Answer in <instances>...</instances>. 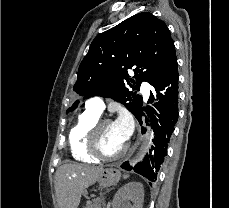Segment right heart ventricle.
Returning a JSON list of instances; mask_svg holds the SVG:
<instances>
[{
	"label": "right heart ventricle",
	"mask_w": 229,
	"mask_h": 208,
	"mask_svg": "<svg viewBox=\"0 0 229 208\" xmlns=\"http://www.w3.org/2000/svg\"><path fill=\"white\" fill-rule=\"evenodd\" d=\"M99 117V114L86 108L71 128L68 136V145L74 161L86 164L94 163L98 160V158H91V153H85L84 149L89 148L88 130Z\"/></svg>",
	"instance_id": "e07e8e85"
}]
</instances>
